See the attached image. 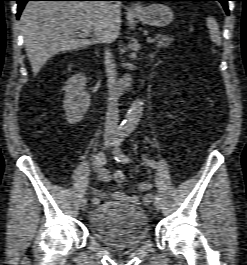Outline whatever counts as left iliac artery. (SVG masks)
I'll return each instance as SVG.
<instances>
[{"label": "left iliac artery", "mask_w": 247, "mask_h": 265, "mask_svg": "<svg viewBox=\"0 0 247 265\" xmlns=\"http://www.w3.org/2000/svg\"><path fill=\"white\" fill-rule=\"evenodd\" d=\"M128 136L127 133H122L120 134V138L118 139L117 141V145L119 146L123 141L124 139ZM114 156H115V159L118 161V162H124V163H127L130 161V159L121 151V149L119 147H117L115 150H114ZM144 164L150 166V167H153V168H159V165L157 162H155L154 160H151V159H144Z\"/></svg>", "instance_id": "1"}]
</instances>
